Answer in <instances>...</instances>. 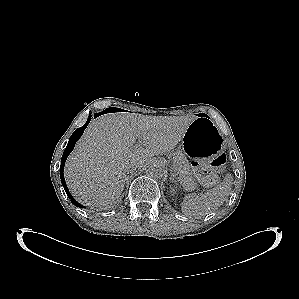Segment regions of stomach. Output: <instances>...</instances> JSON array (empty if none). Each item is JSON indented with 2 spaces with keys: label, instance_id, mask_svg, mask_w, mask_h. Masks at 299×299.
I'll list each match as a JSON object with an SVG mask.
<instances>
[{
  "label": "stomach",
  "instance_id": "0dacf381",
  "mask_svg": "<svg viewBox=\"0 0 299 299\" xmlns=\"http://www.w3.org/2000/svg\"><path fill=\"white\" fill-rule=\"evenodd\" d=\"M183 146L186 156L197 163L212 161L223 149V138L208 116H197L189 124Z\"/></svg>",
  "mask_w": 299,
  "mask_h": 299
}]
</instances>
